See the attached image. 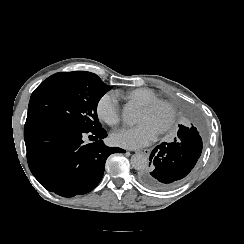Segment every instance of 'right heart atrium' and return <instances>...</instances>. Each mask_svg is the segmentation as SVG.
Here are the masks:
<instances>
[{"label": "right heart atrium", "mask_w": 244, "mask_h": 244, "mask_svg": "<svg viewBox=\"0 0 244 244\" xmlns=\"http://www.w3.org/2000/svg\"><path fill=\"white\" fill-rule=\"evenodd\" d=\"M95 110L98 118L110 126H115L121 121L117 97L112 92H105L99 97Z\"/></svg>", "instance_id": "right-heart-atrium-1"}]
</instances>
